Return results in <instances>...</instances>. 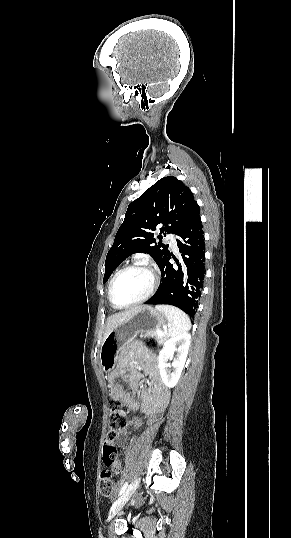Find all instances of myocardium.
<instances>
[{
	"label": "myocardium",
	"instance_id": "obj_1",
	"mask_svg": "<svg viewBox=\"0 0 291 538\" xmlns=\"http://www.w3.org/2000/svg\"><path fill=\"white\" fill-rule=\"evenodd\" d=\"M135 269L145 271L151 276V286H150L148 292L144 296H142L141 298H139V299H137V300H135L133 302L122 304V305L116 304L115 301H114V298H113V288H114L116 280L123 273H125L127 271H130V270H135ZM158 283H159L158 275H157L156 271L152 267H150L149 265H147L145 263H133V264H130L128 266L123 267L122 269L117 271L115 273V275L112 277V279H111V281L109 283V287H108V299H109L111 305L113 307H115V308H118V309L135 306V305L141 304V303L147 301L148 299H150V297L154 294V292H155V290H156V288L158 286Z\"/></svg>",
	"mask_w": 291,
	"mask_h": 538
}]
</instances>
